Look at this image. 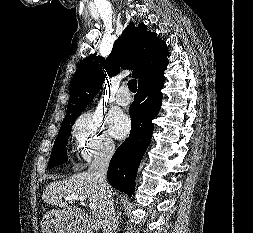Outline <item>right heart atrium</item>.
<instances>
[{
	"label": "right heart atrium",
	"instance_id": "1",
	"mask_svg": "<svg viewBox=\"0 0 253 233\" xmlns=\"http://www.w3.org/2000/svg\"><path fill=\"white\" fill-rule=\"evenodd\" d=\"M72 136L77 151L85 161L108 157L115 150L114 141L102 117L93 111H86L76 119L72 126Z\"/></svg>",
	"mask_w": 253,
	"mask_h": 233
}]
</instances>
